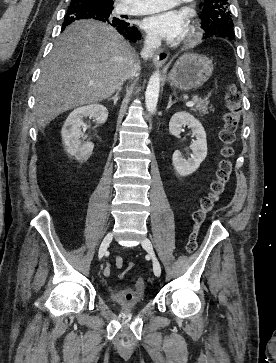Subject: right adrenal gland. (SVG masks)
Wrapping results in <instances>:
<instances>
[{
    "label": "right adrenal gland",
    "mask_w": 276,
    "mask_h": 363,
    "mask_svg": "<svg viewBox=\"0 0 276 363\" xmlns=\"http://www.w3.org/2000/svg\"><path fill=\"white\" fill-rule=\"evenodd\" d=\"M120 91H121V89L117 90V92H116V94H115L114 97L108 98V100H113L114 105H116L117 104V101L119 100V93H120Z\"/></svg>",
    "instance_id": "1"
}]
</instances>
